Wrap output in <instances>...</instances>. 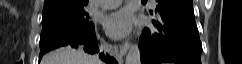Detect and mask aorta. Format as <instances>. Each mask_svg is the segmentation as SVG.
<instances>
[{
    "label": "aorta",
    "mask_w": 242,
    "mask_h": 64,
    "mask_svg": "<svg viewBox=\"0 0 242 64\" xmlns=\"http://www.w3.org/2000/svg\"><path fill=\"white\" fill-rule=\"evenodd\" d=\"M140 49L138 45H132L129 48L128 54L126 56L125 64H140Z\"/></svg>",
    "instance_id": "obj_1"
}]
</instances>
